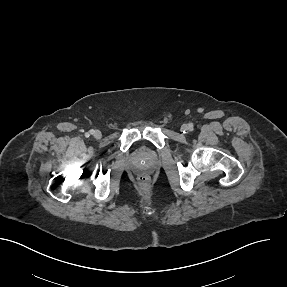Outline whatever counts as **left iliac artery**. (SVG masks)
<instances>
[{"label":"left iliac artery","instance_id":"left-iliac-artery-1","mask_svg":"<svg viewBox=\"0 0 287 287\" xmlns=\"http://www.w3.org/2000/svg\"><path fill=\"white\" fill-rule=\"evenodd\" d=\"M192 129H193V124L190 123V124H189V130H192Z\"/></svg>","mask_w":287,"mask_h":287}]
</instances>
